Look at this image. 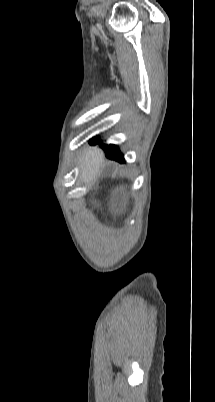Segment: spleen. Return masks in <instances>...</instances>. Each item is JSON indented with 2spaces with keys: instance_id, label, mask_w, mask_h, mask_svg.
Here are the masks:
<instances>
[{
  "instance_id": "obj_1",
  "label": "spleen",
  "mask_w": 215,
  "mask_h": 402,
  "mask_svg": "<svg viewBox=\"0 0 215 402\" xmlns=\"http://www.w3.org/2000/svg\"><path fill=\"white\" fill-rule=\"evenodd\" d=\"M101 159V156L100 155H98V156H95V155H93V159L92 160H90V158H89V165L91 164H94V163H97L99 160ZM81 171L83 172V173H86L87 171H88V168L86 167V166H83L82 168H81Z\"/></svg>"
}]
</instances>
